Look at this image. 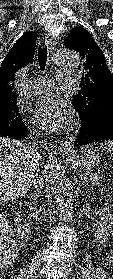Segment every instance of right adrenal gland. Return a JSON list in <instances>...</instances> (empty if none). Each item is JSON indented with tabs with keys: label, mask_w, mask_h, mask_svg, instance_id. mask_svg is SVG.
Returning a JSON list of instances; mask_svg holds the SVG:
<instances>
[{
	"label": "right adrenal gland",
	"mask_w": 113,
	"mask_h": 279,
	"mask_svg": "<svg viewBox=\"0 0 113 279\" xmlns=\"http://www.w3.org/2000/svg\"><path fill=\"white\" fill-rule=\"evenodd\" d=\"M36 189V191L31 194V198L37 199V197L39 196V194L41 193V185H33ZM40 186V187H39Z\"/></svg>",
	"instance_id": "right-adrenal-gland-1"
}]
</instances>
